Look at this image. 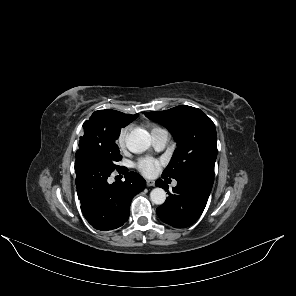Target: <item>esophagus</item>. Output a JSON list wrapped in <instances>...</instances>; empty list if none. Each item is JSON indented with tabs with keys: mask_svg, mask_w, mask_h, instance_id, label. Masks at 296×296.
<instances>
[{
	"mask_svg": "<svg viewBox=\"0 0 296 296\" xmlns=\"http://www.w3.org/2000/svg\"><path fill=\"white\" fill-rule=\"evenodd\" d=\"M146 183H147V186H154L155 185V181H153V180H147Z\"/></svg>",
	"mask_w": 296,
	"mask_h": 296,
	"instance_id": "34e87169",
	"label": "esophagus"
}]
</instances>
